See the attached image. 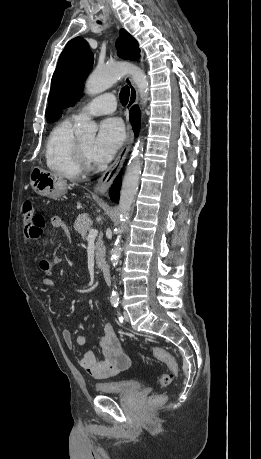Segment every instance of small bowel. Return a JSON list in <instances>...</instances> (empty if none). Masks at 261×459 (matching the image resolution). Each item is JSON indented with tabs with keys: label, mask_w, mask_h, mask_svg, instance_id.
Segmentation results:
<instances>
[{
	"label": "small bowel",
	"mask_w": 261,
	"mask_h": 459,
	"mask_svg": "<svg viewBox=\"0 0 261 459\" xmlns=\"http://www.w3.org/2000/svg\"><path fill=\"white\" fill-rule=\"evenodd\" d=\"M49 223L52 227L61 228L64 231L67 230V225L59 216L51 217ZM41 234L42 232L37 234L32 233L31 235L25 234V238L29 241H37ZM40 268L43 272L49 273V261L43 260L40 263ZM41 282L48 289L55 287L54 280L49 276L43 277ZM62 337L69 348H73L74 344H76L82 349L83 353L79 359V365L94 378L102 379L117 375L127 370L131 365V359L123 349L115 329L110 323H106L103 326V335L100 342L103 355L101 359H97L94 353L88 348L87 339L84 336H78L74 343L71 332L68 329H64Z\"/></svg>",
	"instance_id": "obj_1"
}]
</instances>
